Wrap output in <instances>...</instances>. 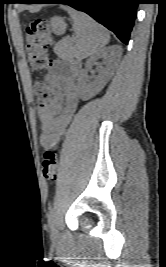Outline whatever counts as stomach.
<instances>
[{
	"mask_svg": "<svg viewBox=\"0 0 166 267\" xmlns=\"http://www.w3.org/2000/svg\"><path fill=\"white\" fill-rule=\"evenodd\" d=\"M51 29L56 35H62L66 30V23L61 17H53L50 21Z\"/></svg>",
	"mask_w": 166,
	"mask_h": 267,
	"instance_id": "1",
	"label": "stomach"
}]
</instances>
